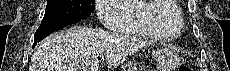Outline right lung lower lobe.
<instances>
[{
  "label": "right lung lower lobe",
  "mask_w": 230,
  "mask_h": 71,
  "mask_svg": "<svg viewBox=\"0 0 230 71\" xmlns=\"http://www.w3.org/2000/svg\"><path fill=\"white\" fill-rule=\"evenodd\" d=\"M80 21L81 19L41 25L35 33L33 46H35L37 42L41 41L42 39H44L45 37H47L49 34L53 33L54 31H57L59 29L64 28L67 25H71V24H74Z\"/></svg>",
  "instance_id": "1"
}]
</instances>
